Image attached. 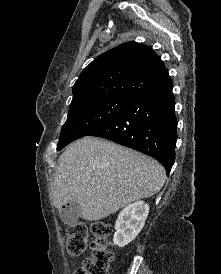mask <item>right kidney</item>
<instances>
[{
    "mask_svg": "<svg viewBox=\"0 0 221 274\" xmlns=\"http://www.w3.org/2000/svg\"><path fill=\"white\" fill-rule=\"evenodd\" d=\"M148 213L149 205L143 201L126 206L115 223L114 244L122 248L133 241L144 227Z\"/></svg>",
    "mask_w": 221,
    "mask_h": 274,
    "instance_id": "obj_1",
    "label": "right kidney"
}]
</instances>
